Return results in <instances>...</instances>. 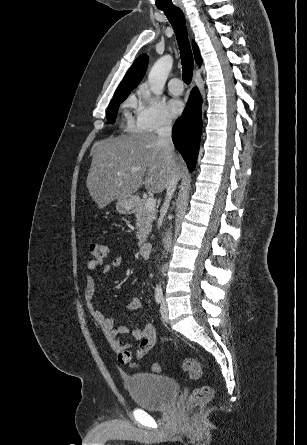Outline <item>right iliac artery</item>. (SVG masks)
Returning <instances> with one entry per match:
<instances>
[{
  "mask_svg": "<svg viewBox=\"0 0 307 445\" xmlns=\"http://www.w3.org/2000/svg\"><path fill=\"white\" fill-rule=\"evenodd\" d=\"M155 301L157 302V304H161L163 301V293L161 290H156L155 291Z\"/></svg>",
  "mask_w": 307,
  "mask_h": 445,
  "instance_id": "82829eb1",
  "label": "right iliac artery"
}]
</instances>
